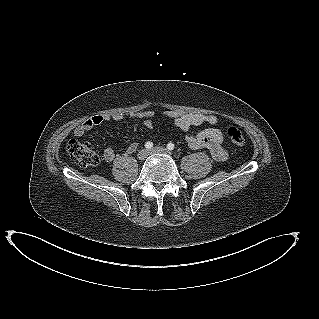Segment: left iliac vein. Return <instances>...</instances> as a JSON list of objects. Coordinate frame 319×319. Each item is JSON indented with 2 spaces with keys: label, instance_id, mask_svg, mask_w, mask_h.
Returning a JSON list of instances; mask_svg holds the SVG:
<instances>
[{
  "label": "left iliac vein",
  "instance_id": "4c4485c4",
  "mask_svg": "<svg viewBox=\"0 0 319 319\" xmlns=\"http://www.w3.org/2000/svg\"><path fill=\"white\" fill-rule=\"evenodd\" d=\"M149 153H150V154L160 153V154L171 155L170 151L167 150V149L164 148V147H154V148H152V149L149 151Z\"/></svg>",
  "mask_w": 319,
  "mask_h": 319
}]
</instances>
